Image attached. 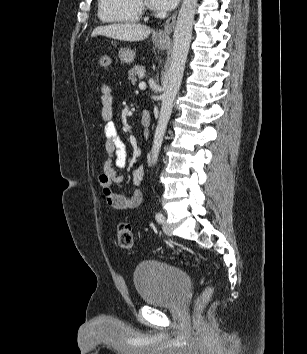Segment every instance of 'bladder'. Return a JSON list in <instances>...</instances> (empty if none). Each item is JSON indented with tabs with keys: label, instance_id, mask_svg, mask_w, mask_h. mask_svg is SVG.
I'll return each mask as SVG.
<instances>
[{
	"label": "bladder",
	"instance_id": "bladder-1",
	"mask_svg": "<svg viewBox=\"0 0 307 354\" xmlns=\"http://www.w3.org/2000/svg\"><path fill=\"white\" fill-rule=\"evenodd\" d=\"M133 282L145 304L162 307L180 305L191 287L185 271L157 260L140 262L133 271Z\"/></svg>",
	"mask_w": 307,
	"mask_h": 354
}]
</instances>
